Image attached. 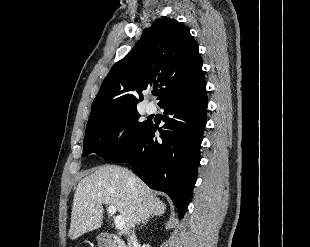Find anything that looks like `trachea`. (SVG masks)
<instances>
[{"label": "trachea", "instance_id": "1", "mask_svg": "<svg viewBox=\"0 0 310 247\" xmlns=\"http://www.w3.org/2000/svg\"><path fill=\"white\" fill-rule=\"evenodd\" d=\"M153 95L157 96V95H158V93H157V92H153Z\"/></svg>", "mask_w": 310, "mask_h": 247}]
</instances>
